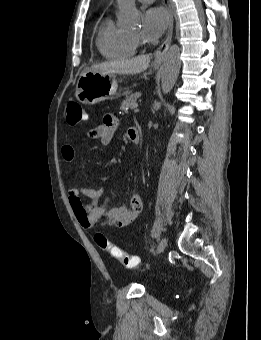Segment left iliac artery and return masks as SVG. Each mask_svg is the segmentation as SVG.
<instances>
[{
  "label": "left iliac artery",
  "mask_w": 261,
  "mask_h": 340,
  "mask_svg": "<svg viewBox=\"0 0 261 340\" xmlns=\"http://www.w3.org/2000/svg\"><path fill=\"white\" fill-rule=\"evenodd\" d=\"M151 235H152V238L156 239L157 237L160 236V232L159 230H154Z\"/></svg>",
  "instance_id": "obj_1"
}]
</instances>
